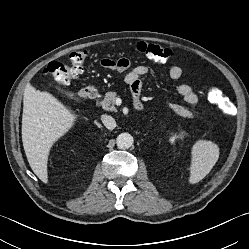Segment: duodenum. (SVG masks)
I'll list each match as a JSON object with an SVG mask.
<instances>
[{"label":"duodenum","mask_w":249,"mask_h":249,"mask_svg":"<svg viewBox=\"0 0 249 249\" xmlns=\"http://www.w3.org/2000/svg\"><path fill=\"white\" fill-rule=\"evenodd\" d=\"M81 98L85 100L95 99L98 96V90L94 86H87L80 91ZM134 106L137 110H141L143 105L139 99L134 100Z\"/></svg>","instance_id":"obj_1"}]
</instances>
